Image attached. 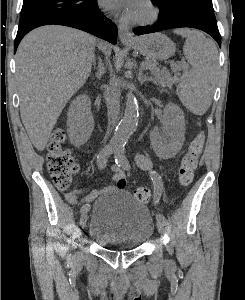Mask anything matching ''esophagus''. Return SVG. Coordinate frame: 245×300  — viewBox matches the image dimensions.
I'll return each instance as SVG.
<instances>
[{"label": "esophagus", "instance_id": "1", "mask_svg": "<svg viewBox=\"0 0 245 300\" xmlns=\"http://www.w3.org/2000/svg\"><path fill=\"white\" fill-rule=\"evenodd\" d=\"M118 36L122 42H130L134 40L130 28L125 24H118Z\"/></svg>", "mask_w": 245, "mask_h": 300}]
</instances>
